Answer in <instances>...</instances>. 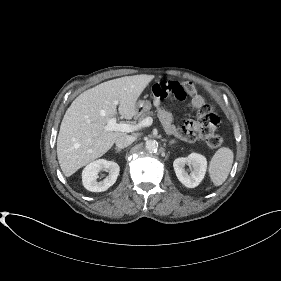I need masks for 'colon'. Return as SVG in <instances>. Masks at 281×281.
<instances>
[{"instance_id":"1","label":"colon","mask_w":281,"mask_h":281,"mask_svg":"<svg viewBox=\"0 0 281 281\" xmlns=\"http://www.w3.org/2000/svg\"><path fill=\"white\" fill-rule=\"evenodd\" d=\"M195 92V86L191 82L162 81L152 86V95L156 99H174L183 101L187 95ZM200 131L199 138H204L211 148H218L222 145V138L217 133L220 118L216 113H211L205 108L200 110Z\"/></svg>"}]
</instances>
